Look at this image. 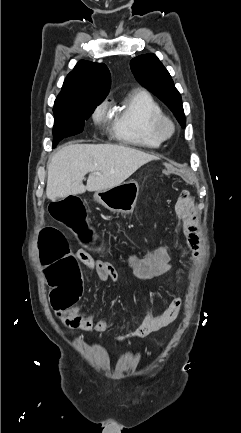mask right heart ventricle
I'll return each instance as SVG.
<instances>
[{"label": "right heart ventricle", "mask_w": 241, "mask_h": 433, "mask_svg": "<svg viewBox=\"0 0 241 433\" xmlns=\"http://www.w3.org/2000/svg\"><path fill=\"white\" fill-rule=\"evenodd\" d=\"M163 116L160 105L145 90L128 94L116 107L112 120V134L122 143L143 149H155L163 140L154 132V122Z\"/></svg>", "instance_id": "right-heart-ventricle-1"}]
</instances>
